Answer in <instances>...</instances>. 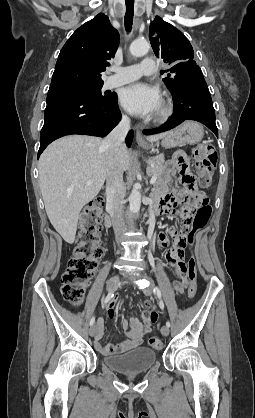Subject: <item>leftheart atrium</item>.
I'll return each instance as SVG.
<instances>
[{
    "label": "left heart atrium",
    "mask_w": 255,
    "mask_h": 418,
    "mask_svg": "<svg viewBox=\"0 0 255 418\" xmlns=\"http://www.w3.org/2000/svg\"><path fill=\"white\" fill-rule=\"evenodd\" d=\"M121 104L130 113L147 116L157 112L162 104L159 90L146 83H135L121 93Z\"/></svg>",
    "instance_id": "left-heart-atrium-1"
}]
</instances>
